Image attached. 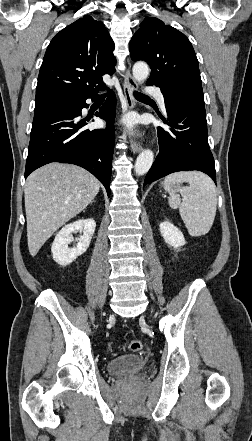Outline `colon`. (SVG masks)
Returning <instances> with one entry per match:
<instances>
[{
	"label": "colon",
	"mask_w": 252,
	"mask_h": 441,
	"mask_svg": "<svg viewBox=\"0 0 252 441\" xmlns=\"http://www.w3.org/2000/svg\"><path fill=\"white\" fill-rule=\"evenodd\" d=\"M125 348L131 352H138L141 350L142 344L139 340H131L127 343Z\"/></svg>",
	"instance_id": "1"
}]
</instances>
